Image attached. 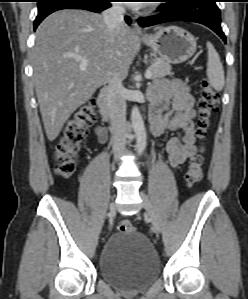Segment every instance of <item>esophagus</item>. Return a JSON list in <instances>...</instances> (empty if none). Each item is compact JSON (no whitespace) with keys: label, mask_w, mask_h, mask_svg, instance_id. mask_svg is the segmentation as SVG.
I'll use <instances>...</instances> for the list:
<instances>
[{"label":"esophagus","mask_w":248,"mask_h":299,"mask_svg":"<svg viewBox=\"0 0 248 299\" xmlns=\"http://www.w3.org/2000/svg\"><path fill=\"white\" fill-rule=\"evenodd\" d=\"M133 30L140 37L144 35L143 32H142V30H141V28H140V26L138 25L137 22H134V24H133Z\"/></svg>","instance_id":"obj_1"}]
</instances>
